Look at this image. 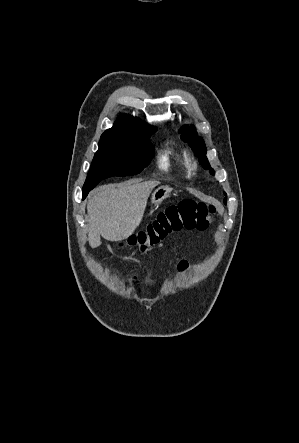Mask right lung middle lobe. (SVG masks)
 I'll return each mask as SVG.
<instances>
[{
	"label": "right lung middle lobe",
	"instance_id": "right-lung-middle-lobe-1",
	"mask_svg": "<svg viewBox=\"0 0 299 443\" xmlns=\"http://www.w3.org/2000/svg\"><path fill=\"white\" fill-rule=\"evenodd\" d=\"M154 132L156 128L147 127L136 134L101 138L83 186V198L103 179L140 173L153 157V146L148 139Z\"/></svg>",
	"mask_w": 299,
	"mask_h": 443
}]
</instances>
